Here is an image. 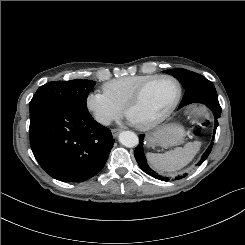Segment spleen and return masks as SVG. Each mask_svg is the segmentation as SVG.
Returning <instances> with one entry per match:
<instances>
[{
    "mask_svg": "<svg viewBox=\"0 0 245 245\" xmlns=\"http://www.w3.org/2000/svg\"><path fill=\"white\" fill-rule=\"evenodd\" d=\"M200 147L199 141L188 142L184 147H177L163 154L147 153L146 157L150 165L158 172L173 173L190 163Z\"/></svg>",
    "mask_w": 245,
    "mask_h": 245,
    "instance_id": "spleen-1",
    "label": "spleen"
}]
</instances>
